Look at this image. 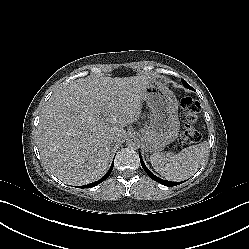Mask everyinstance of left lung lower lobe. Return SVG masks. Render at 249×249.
Wrapping results in <instances>:
<instances>
[{"label":"left lung lower lobe","mask_w":249,"mask_h":249,"mask_svg":"<svg viewBox=\"0 0 249 249\" xmlns=\"http://www.w3.org/2000/svg\"><path fill=\"white\" fill-rule=\"evenodd\" d=\"M140 161H141V165L143 167V169L145 170V172L156 182L162 184V185H165V186H174V184H177V182H170V181H165V180H162L160 178H158L157 176H155L154 174H152L148 168L145 166L141 156H140Z\"/></svg>","instance_id":"0a47b994"}]
</instances>
